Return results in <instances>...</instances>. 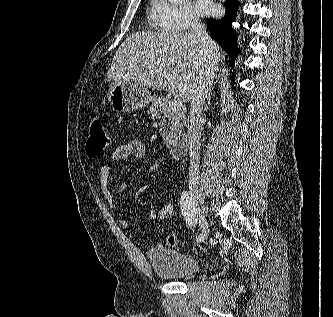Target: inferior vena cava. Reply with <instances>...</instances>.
I'll use <instances>...</instances> for the list:
<instances>
[{
  "label": "inferior vena cava",
  "instance_id": "obj_1",
  "mask_svg": "<svg viewBox=\"0 0 333 317\" xmlns=\"http://www.w3.org/2000/svg\"><path fill=\"white\" fill-rule=\"evenodd\" d=\"M193 36L201 42L202 49L207 52L210 37L203 25L193 22L191 25ZM205 70L198 77L191 95V105L188 116V141L190 150L189 187L197 189L199 184V164L201 149V126L200 117L205 98L210 90L215 62L211 56L204 63Z\"/></svg>",
  "mask_w": 333,
  "mask_h": 317
}]
</instances>
